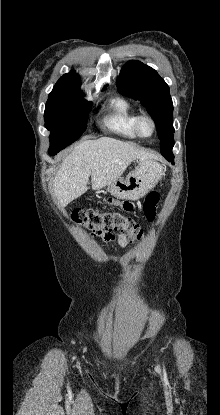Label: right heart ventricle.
<instances>
[{
	"label": "right heart ventricle",
	"mask_w": 220,
	"mask_h": 415,
	"mask_svg": "<svg viewBox=\"0 0 220 415\" xmlns=\"http://www.w3.org/2000/svg\"><path fill=\"white\" fill-rule=\"evenodd\" d=\"M138 113L125 99L116 98L110 103V112L104 119L105 127L111 132L129 139L137 138L134 129Z\"/></svg>",
	"instance_id": "1"
}]
</instances>
